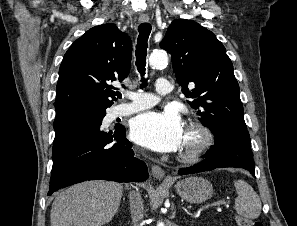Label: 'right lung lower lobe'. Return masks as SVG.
Segmentation results:
<instances>
[{
  "instance_id": "1",
  "label": "right lung lower lobe",
  "mask_w": 297,
  "mask_h": 226,
  "mask_svg": "<svg viewBox=\"0 0 297 226\" xmlns=\"http://www.w3.org/2000/svg\"><path fill=\"white\" fill-rule=\"evenodd\" d=\"M105 114L92 107H81L56 115L48 195L86 180L141 182L148 178L147 166L134 157L132 144L125 139V128L102 130Z\"/></svg>"
}]
</instances>
